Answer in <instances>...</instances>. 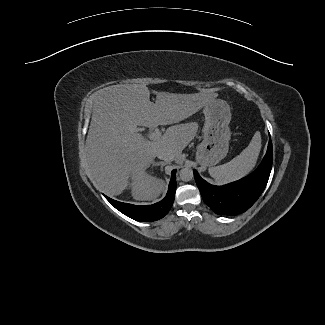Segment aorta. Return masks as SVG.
<instances>
[{
  "label": "aorta",
  "instance_id": "aorta-1",
  "mask_svg": "<svg viewBox=\"0 0 325 325\" xmlns=\"http://www.w3.org/2000/svg\"><path fill=\"white\" fill-rule=\"evenodd\" d=\"M179 176L182 181L188 182L193 178V171L190 168H183L180 170Z\"/></svg>",
  "mask_w": 325,
  "mask_h": 325
}]
</instances>
